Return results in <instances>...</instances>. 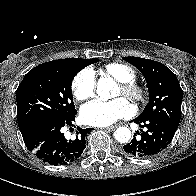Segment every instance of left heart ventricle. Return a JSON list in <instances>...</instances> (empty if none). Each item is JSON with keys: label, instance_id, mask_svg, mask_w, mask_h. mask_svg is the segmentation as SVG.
<instances>
[{"label": "left heart ventricle", "instance_id": "b2bd125f", "mask_svg": "<svg viewBox=\"0 0 196 196\" xmlns=\"http://www.w3.org/2000/svg\"><path fill=\"white\" fill-rule=\"evenodd\" d=\"M116 95H122L121 90H120V88H119V87L117 88Z\"/></svg>", "mask_w": 196, "mask_h": 196}]
</instances>
